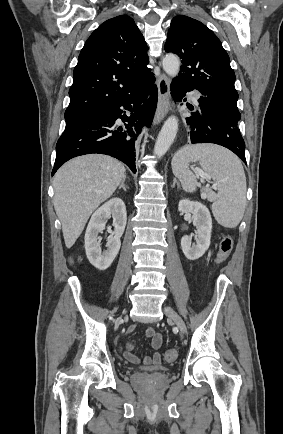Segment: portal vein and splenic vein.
I'll list each match as a JSON object with an SVG mask.
<instances>
[{
	"mask_svg": "<svg viewBox=\"0 0 283 434\" xmlns=\"http://www.w3.org/2000/svg\"><path fill=\"white\" fill-rule=\"evenodd\" d=\"M199 175L201 176L202 179H210V177L202 172H199Z\"/></svg>",
	"mask_w": 283,
	"mask_h": 434,
	"instance_id": "portal-vein-and-splenic-vein-1",
	"label": "portal vein and splenic vein"
}]
</instances>
